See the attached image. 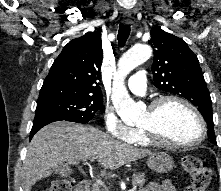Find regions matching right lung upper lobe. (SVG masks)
Returning a JSON list of instances; mask_svg holds the SVG:
<instances>
[{
  "label": "right lung upper lobe",
  "instance_id": "right-lung-upper-lobe-1",
  "mask_svg": "<svg viewBox=\"0 0 221 191\" xmlns=\"http://www.w3.org/2000/svg\"><path fill=\"white\" fill-rule=\"evenodd\" d=\"M102 59L100 30L73 39L54 61L37 101L74 97L103 98L99 85Z\"/></svg>",
  "mask_w": 221,
  "mask_h": 191
}]
</instances>
